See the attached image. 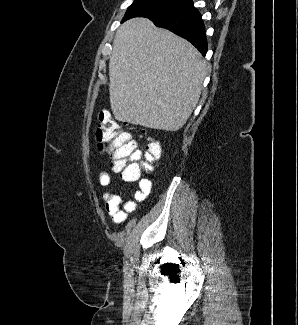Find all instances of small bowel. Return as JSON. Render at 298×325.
Here are the masks:
<instances>
[{
    "label": "small bowel",
    "mask_w": 298,
    "mask_h": 325,
    "mask_svg": "<svg viewBox=\"0 0 298 325\" xmlns=\"http://www.w3.org/2000/svg\"><path fill=\"white\" fill-rule=\"evenodd\" d=\"M99 183L103 187H108L111 184V177L107 171L102 170L99 173ZM152 186L153 182L150 178L144 177L139 179L138 189L133 193L132 200H125L116 193L105 192L103 194L105 209L112 222L115 224L124 223L128 215L137 210L138 202L148 198Z\"/></svg>",
    "instance_id": "small-bowel-1"
}]
</instances>
